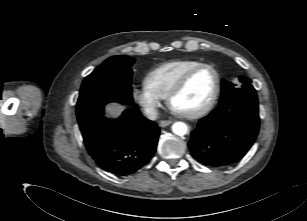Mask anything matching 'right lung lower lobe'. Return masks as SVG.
Segmentation results:
<instances>
[{
	"label": "right lung lower lobe",
	"instance_id": "1",
	"mask_svg": "<svg viewBox=\"0 0 307 221\" xmlns=\"http://www.w3.org/2000/svg\"><path fill=\"white\" fill-rule=\"evenodd\" d=\"M118 102L125 104V100ZM78 121L88 153L107 172L132 174L154 155L160 128L137 108L126 109L119 118L109 120L101 106Z\"/></svg>",
	"mask_w": 307,
	"mask_h": 221
}]
</instances>
